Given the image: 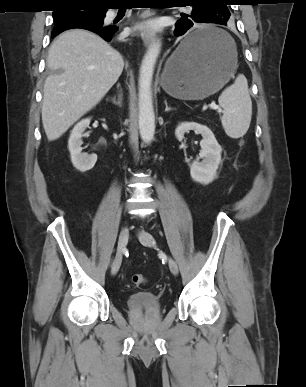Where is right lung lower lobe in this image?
<instances>
[{
  "label": "right lung lower lobe",
  "instance_id": "obj_1",
  "mask_svg": "<svg viewBox=\"0 0 306 387\" xmlns=\"http://www.w3.org/2000/svg\"><path fill=\"white\" fill-rule=\"evenodd\" d=\"M71 28H82V29L90 30L92 32H95V33L99 34L106 41H111L113 36H114V34H115V32L117 31V26H103V24H96V25H93V26H90V25H77V26H74V27H71ZM68 29H70V28H68ZM53 35L56 36L57 34H53Z\"/></svg>",
  "mask_w": 306,
  "mask_h": 387
}]
</instances>
